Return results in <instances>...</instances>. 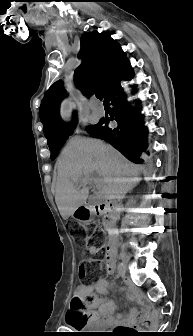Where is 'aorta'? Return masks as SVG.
Listing matches in <instances>:
<instances>
[{
  "instance_id": "1",
  "label": "aorta",
  "mask_w": 193,
  "mask_h": 336,
  "mask_svg": "<svg viewBox=\"0 0 193 336\" xmlns=\"http://www.w3.org/2000/svg\"><path fill=\"white\" fill-rule=\"evenodd\" d=\"M71 111H72V107H71L70 100L68 99L64 100L61 104V117L64 120H68L70 118Z\"/></svg>"
}]
</instances>
